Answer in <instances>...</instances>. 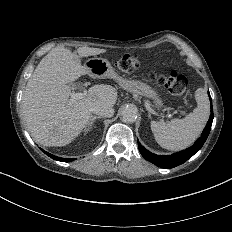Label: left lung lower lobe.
I'll list each match as a JSON object with an SVG mask.
<instances>
[{"instance_id":"1","label":"left lung lower lobe","mask_w":232,"mask_h":232,"mask_svg":"<svg viewBox=\"0 0 232 232\" xmlns=\"http://www.w3.org/2000/svg\"><path fill=\"white\" fill-rule=\"evenodd\" d=\"M209 98L210 101L212 102L210 94H209ZM212 122H213V107L211 105V114L206 124V127L204 128L201 137L191 147L183 151L174 153L172 155H156L148 151L138 142L139 151L146 160L155 164L158 167L164 169L174 168L186 162L189 158H191L195 153H197L201 149V147L205 143L210 133Z\"/></svg>"}]
</instances>
